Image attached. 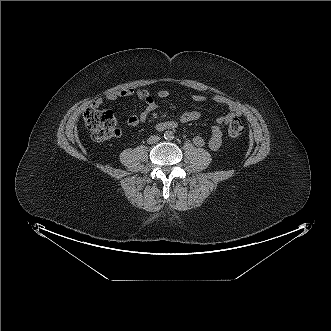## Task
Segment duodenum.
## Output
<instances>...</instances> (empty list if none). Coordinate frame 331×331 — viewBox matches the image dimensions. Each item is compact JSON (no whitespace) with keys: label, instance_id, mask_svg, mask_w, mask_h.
<instances>
[{"label":"duodenum","instance_id":"410a0bca","mask_svg":"<svg viewBox=\"0 0 331 331\" xmlns=\"http://www.w3.org/2000/svg\"><path fill=\"white\" fill-rule=\"evenodd\" d=\"M177 127V124L174 123V122H169L165 125V130H168V129H175Z\"/></svg>","mask_w":331,"mask_h":331}]
</instances>
